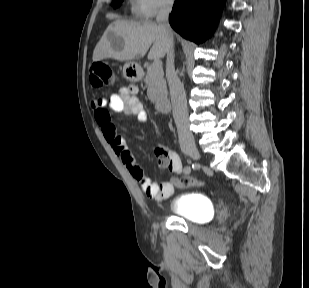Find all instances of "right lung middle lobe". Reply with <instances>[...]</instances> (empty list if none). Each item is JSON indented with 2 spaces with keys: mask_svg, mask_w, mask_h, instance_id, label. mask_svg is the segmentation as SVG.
I'll list each match as a JSON object with an SVG mask.
<instances>
[{
  "mask_svg": "<svg viewBox=\"0 0 309 288\" xmlns=\"http://www.w3.org/2000/svg\"><path fill=\"white\" fill-rule=\"evenodd\" d=\"M122 1L123 0H113L112 1V5L116 8V7H118L121 4Z\"/></svg>",
  "mask_w": 309,
  "mask_h": 288,
  "instance_id": "1",
  "label": "right lung middle lobe"
}]
</instances>
